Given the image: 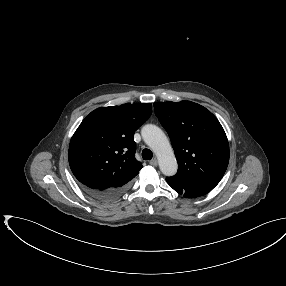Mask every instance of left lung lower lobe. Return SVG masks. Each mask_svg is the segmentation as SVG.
I'll list each match as a JSON object with an SVG mask.
<instances>
[{
    "label": "left lung lower lobe",
    "mask_w": 286,
    "mask_h": 286,
    "mask_svg": "<svg viewBox=\"0 0 286 286\" xmlns=\"http://www.w3.org/2000/svg\"><path fill=\"white\" fill-rule=\"evenodd\" d=\"M167 183L179 194H183L186 198H195L207 194L210 190L198 186L184 184L181 181L166 178Z\"/></svg>",
    "instance_id": "obj_1"
}]
</instances>
